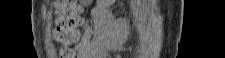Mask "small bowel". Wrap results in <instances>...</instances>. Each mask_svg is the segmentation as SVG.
I'll return each mask as SVG.
<instances>
[{
    "mask_svg": "<svg viewBox=\"0 0 225 58\" xmlns=\"http://www.w3.org/2000/svg\"><path fill=\"white\" fill-rule=\"evenodd\" d=\"M114 2L115 0L97 1L91 20L84 27L82 39L75 47L78 58H89L96 53L117 51V46L112 44L110 36L115 33L121 20L111 17L107 12Z\"/></svg>",
    "mask_w": 225,
    "mask_h": 58,
    "instance_id": "1",
    "label": "small bowel"
}]
</instances>
